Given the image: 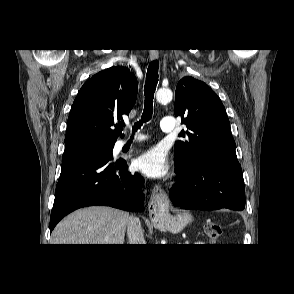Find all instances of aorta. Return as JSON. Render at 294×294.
Returning <instances> with one entry per match:
<instances>
[{
  "label": "aorta",
  "instance_id": "762f6f07",
  "mask_svg": "<svg viewBox=\"0 0 294 294\" xmlns=\"http://www.w3.org/2000/svg\"><path fill=\"white\" fill-rule=\"evenodd\" d=\"M173 93L170 89L161 88L156 93V100L159 103H168L172 100Z\"/></svg>",
  "mask_w": 294,
  "mask_h": 294
}]
</instances>
